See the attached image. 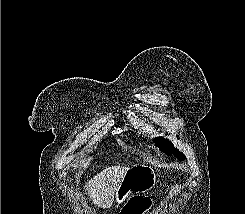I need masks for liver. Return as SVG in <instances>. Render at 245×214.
Here are the masks:
<instances>
[{"label": "liver", "mask_w": 245, "mask_h": 214, "mask_svg": "<svg viewBox=\"0 0 245 214\" xmlns=\"http://www.w3.org/2000/svg\"><path fill=\"white\" fill-rule=\"evenodd\" d=\"M128 169L125 166L108 167L88 181L85 188L93 204L98 208H110L120 182Z\"/></svg>", "instance_id": "obj_1"}]
</instances>
